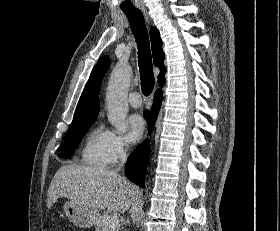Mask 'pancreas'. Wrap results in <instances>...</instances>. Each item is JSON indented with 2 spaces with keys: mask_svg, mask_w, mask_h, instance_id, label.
<instances>
[{
  "mask_svg": "<svg viewBox=\"0 0 280 231\" xmlns=\"http://www.w3.org/2000/svg\"><path fill=\"white\" fill-rule=\"evenodd\" d=\"M109 215L110 211H104L103 215H99L95 223V231H118V223L115 227H109L107 223Z\"/></svg>",
  "mask_w": 280,
  "mask_h": 231,
  "instance_id": "1",
  "label": "pancreas"
}]
</instances>
